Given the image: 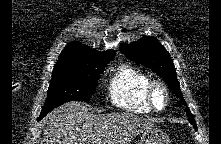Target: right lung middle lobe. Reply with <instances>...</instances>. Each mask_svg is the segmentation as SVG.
Returning a JSON list of instances; mask_svg holds the SVG:
<instances>
[{"label": "right lung middle lobe", "instance_id": "dd1d6c3e", "mask_svg": "<svg viewBox=\"0 0 221 144\" xmlns=\"http://www.w3.org/2000/svg\"><path fill=\"white\" fill-rule=\"evenodd\" d=\"M108 63L54 66L47 99L39 119L63 103L89 100L94 93L98 76Z\"/></svg>", "mask_w": 221, "mask_h": 144}]
</instances>
